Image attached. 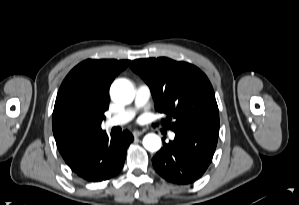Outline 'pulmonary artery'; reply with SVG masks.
I'll return each instance as SVG.
<instances>
[{
  "label": "pulmonary artery",
  "instance_id": "pulmonary-artery-1",
  "mask_svg": "<svg viewBox=\"0 0 299 205\" xmlns=\"http://www.w3.org/2000/svg\"><path fill=\"white\" fill-rule=\"evenodd\" d=\"M150 97V88L145 84L139 85L135 92L134 106L125 109L119 112L118 114L114 115L113 117L107 119L105 122V126L107 128H112L116 126H122L128 123L134 118L136 111L147 104Z\"/></svg>",
  "mask_w": 299,
  "mask_h": 205
}]
</instances>
